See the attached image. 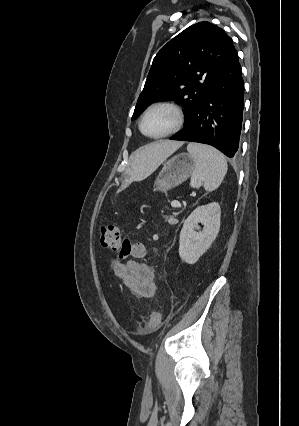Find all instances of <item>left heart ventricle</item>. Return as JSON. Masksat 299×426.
<instances>
[{"label":"left heart ventricle","mask_w":299,"mask_h":426,"mask_svg":"<svg viewBox=\"0 0 299 426\" xmlns=\"http://www.w3.org/2000/svg\"><path fill=\"white\" fill-rule=\"evenodd\" d=\"M176 123V115L169 108L152 110L144 120L143 129L148 135H160L169 131Z\"/></svg>","instance_id":"1"}]
</instances>
